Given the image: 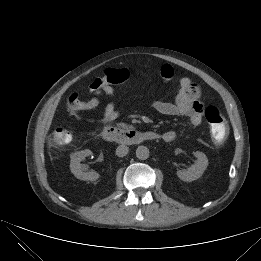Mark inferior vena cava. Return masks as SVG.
I'll list each match as a JSON object with an SVG mask.
<instances>
[{
	"label": "inferior vena cava",
	"mask_w": 261,
	"mask_h": 261,
	"mask_svg": "<svg viewBox=\"0 0 261 261\" xmlns=\"http://www.w3.org/2000/svg\"><path fill=\"white\" fill-rule=\"evenodd\" d=\"M128 152H129V148L125 145H120L116 149V155L118 157H124L128 154Z\"/></svg>",
	"instance_id": "obj_1"
}]
</instances>
